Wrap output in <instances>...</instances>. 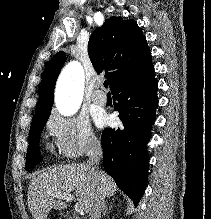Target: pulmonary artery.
<instances>
[{
	"mask_svg": "<svg viewBox=\"0 0 211 219\" xmlns=\"http://www.w3.org/2000/svg\"><path fill=\"white\" fill-rule=\"evenodd\" d=\"M100 85H97V89L93 92L91 99L92 102L96 105H104L107 101L106 94L99 89Z\"/></svg>",
	"mask_w": 211,
	"mask_h": 219,
	"instance_id": "e3ab8cb5",
	"label": "pulmonary artery"
}]
</instances>
